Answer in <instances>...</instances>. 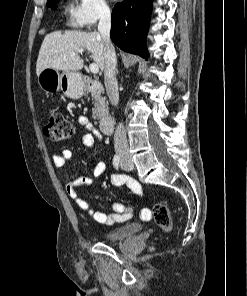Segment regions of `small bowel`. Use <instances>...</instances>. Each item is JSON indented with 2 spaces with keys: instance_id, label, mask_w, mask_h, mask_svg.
I'll return each mask as SVG.
<instances>
[{
  "instance_id": "c3829d8e",
  "label": "small bowel",
  "mask_w": 247,
  "mask_h": 296,
  "mask_svg": "<svg viewBox=\"0 0 247 296\" xmlns=\"http://www.w3.org/2000/svg\"><path fill=\"white\" fill-rule=\"evenodd\" d=\"M78 122L84 129V135L82 136L83 145L91 149L96 148V134L98 132V129L84 115L78 117ZM70 158L71 151L69 149H64L60 154H55L53 156L54 166L57 168H62L66 165ZM105 170L106 164L101 160L100 157H97L94 162V177L102 175ZM109 180L111 185L113 186L125 185L134 193L142 194V188L140 184L135 179L127 175L112 174ZM65 183L68 196L72 198L77 203V205L97 223L106 226H112L117 223L126 222L133 217V210L131 208L125 207L120 202H112L111 208L113 210V213L107 214L105 212L93 209L86 201L81 199L77 193V188L81 186H91L93 184L92 177L80 176L74 179L65 178ZM144 213L148 214L149 210L143 209L141 212V216Z\"/></svg>"
}]
</instances>
